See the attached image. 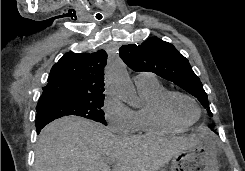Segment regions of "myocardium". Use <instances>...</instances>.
I'll return each mask as SVG.
<instances>
[{
	"instance_id": "myocardium-1",
	"label": "myocardium",
	"mask_w": 245,
	"mask_h": 171,
	"mask_svg": "<svg viewBox=\"0 0 245 171\" xmlns=\"http://www.w3.org/2000/svg\"><path fill=\"white\" fill-rule=\"evenodd\" d=\"M184 97L186 99H188L189 101H191L194 106L197 109V117L194 121L192 122H182L180 120H178L172 113L171 111V102L173 100L174 97ZM159 112L161 114V116L170 124L178 126V127H183V128H187V127H191L192 125H194L195 123H197L199 121V119L201 118V108L200 105L198 104V102L196 101L195 98H193L192 96L181 92V91H167L165 92L162 97L160 98L159 101Z\"/></svg>"
}]
</instances>
